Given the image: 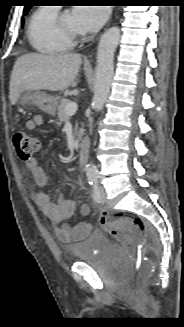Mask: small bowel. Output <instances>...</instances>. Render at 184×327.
Wrapping results in <instances>:
<instances>
[{"label":"small bowel","mask_w":184,"mask_h":327,"mask_svg":"<svg viewBox=\"0 0 184 327\" xmlns=\"http://www.w3.org/2000/svg\"><path fill=\"white\" fill-rule=\"evenodd\" d=\"M43 115L36 114L26 122L29 130H35L43 122ZM26 167L32 175L35 184L39 187H46L50 182L49 174L39 165L36 158L26 161ZM33 200L43 214L55 225L57 237L64 242L80 240L90 232L91 224L88 222H79L74 225L64 223L71 218L76 210L75 202L65 194H59L53 202L45 190L36 191L33 194ZM82 215L89 213V206L83 204L80 208Z\"/></svg>","instance_id":"obj_1"}]
</instances>
